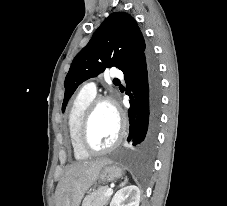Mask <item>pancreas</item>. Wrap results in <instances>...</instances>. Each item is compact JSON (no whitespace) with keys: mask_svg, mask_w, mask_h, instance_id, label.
I'll list each match as a JSON object with an SVG mask.
<instances>
[{"mask_svg":"<svg viewBox=\"0 0 227 206\" xmlns=\"http://www.w3.org/2000/svg\"><path fill=\"white\" fill-rule=\"evenodd\" d=\"M109 188L102 186L99 189L92 191L87 195L82 203V206H104L108 203L110 196H106Z\"/></svg>","mask_w":227,"mask_h":206,"instance_id":"1","label":"pancreas"}]
</instances>
